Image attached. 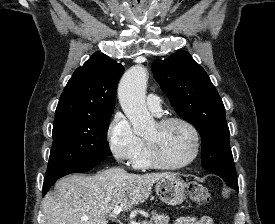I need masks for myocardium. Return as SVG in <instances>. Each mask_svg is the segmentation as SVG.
Segmentation results:
<instances>
[{
  "instance_id": "1",
  "label": "myocardium",
  "mask_w": 275,
  "mask_h": 224,
  "mask_svg": "<svg viewBox=\"0 0 275 224\" xmlns=\"http://www.w3.org/2000/svg\"><path fill=\"white\" fill-rule=\"evenodd\" d=\"M178 122L186 126L190 132L192 133L193 136V153L191 157L186 160L183 163L179 164H170L165 162L160 155L158 154L156 148L152 145L151 142H149L146 138L144 139L145 142V150H146V155L148 158V161L150 164L154 167L161 168V169H167V170H177V169H182L185 168L189 165H191L199 156L200 153V135L195 127V125L190 122L188 119L181 117V116H164L161 117L157 120L156 124L159 127H164L170 123Z\"/></svg>"
}]
</instances>
